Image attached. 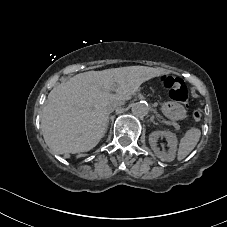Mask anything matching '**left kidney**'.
Segmentation results:
<instances>
[{
    "label": "left kidney",
    "mask_w": 227,
    "mask_h": 227,
    "mask_svg": "<svg viewBox=\"0 0 227 227\" xmlns=\"http://www.w3.org/2000/svg\"><path fill=\"white\" fill-rule=\"evenodd\" d=\"M159 137L166 138L169 146L168 152L160 151L159 148L157 147V140ZM149 144L152 150L154 151L155 155L161 161L171 162L175 159L178 140L174 133L170 131H154L149 135Z\"/></svg>",
    "instance_id": "obj_1"
}]
</instances>
